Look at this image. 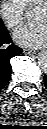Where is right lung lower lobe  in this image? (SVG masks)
I'll return each mask as SVG.
<instances>
[{"label":"right lung lower lobe","mask_w":47,"mask_h":129,"mask_svg":"<svg viewBox=\"0 0 47 129\" xmlns=\"http://www.w3.org/2000/svg\"><path fill=\"white\" fill-rule=\"evenodd\" d=\"M10 43H12V39L7 29L3 25H0V89L7 84L11 77L12 66L10 64V59L22 52L21 48L13 44L8 47L3 45Z\"/></svg>","instance_id":"1"}]
</instances>
